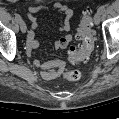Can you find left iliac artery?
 Returning <instances> with one entry per match:
<instances>
[{
    "mask_svg": "<svg viewBox=\"0 0 119 119\" xmlns=\"http://www.w3.org/2000/svg\"><path fill=\"white\" fill-rule=\"evenodd\" d=\"M99 12L103 13L105 11V6H100L98 9Z\"/></svg>",
    "mask_w": 119,
    "mask_h": 119,
    "instance_id": "obj_1",
    "label": "left iliac artery"
}]
</instances>
